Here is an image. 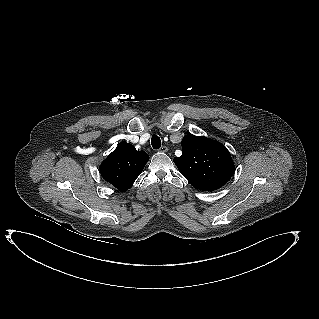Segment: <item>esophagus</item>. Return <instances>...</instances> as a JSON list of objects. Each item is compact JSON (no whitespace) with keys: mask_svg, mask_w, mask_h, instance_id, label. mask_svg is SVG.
I'll return each mask as SVG.
<instances>
[{"mask_svg":"<svg viewBox=\"0 0 319 319\" xmlns=\"http://www.w3.org/2000/svg\"><path fill=\"white\" fill-rule=\"evenodd\" d=\"M159 150L161 152H167L168 148L166 146H162Z\"/></svg>","mask_w":319,"mask_h":319,"instance_id":"obj_1","label":"esophagus"}]
</instances>
